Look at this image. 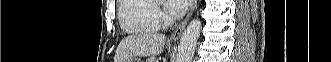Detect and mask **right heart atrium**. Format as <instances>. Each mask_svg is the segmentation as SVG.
Wrapping results in <instances>:
<instances>
[{
    "label": "right heart atrium",
    "mask_w": 331,
    "mask_h": 62,
    "mask_svg": "<svg viewBox=\"0 0 331 62\" xmlns=\"http://www.w3.org/2000/svg\"><path fill=\"white\" fill-rule=\"evenodd\" d=\"M168 14L161 10H155V18L158 20L159 23L164 22L168 19Z\"/></svg>",
    "instance_id": "d8ad5b80"
}]
</instances>
